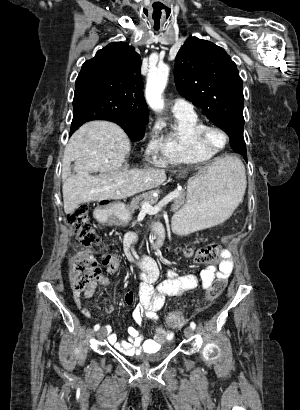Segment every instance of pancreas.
<instances>
[{
  "mask_svg": "<svg viewBox=\"0 0 300 410\" xmlns=\"http://www.w3.org/2000/svg\"><path fill=\"white\" fill-rule=\"evenodd\" d=\"M179 193L180 195L173 199V204L171 206L172 211L178 210L184 204L185 191L180 190ZM142 200H144L145 202H149L150 204H154L156 203L157 198L153 196L152 192L143 193L133 198L131 205H130V210L134 211L135 209L140 208V206L142 205V202H141Z\"/></svg>",
  "mask_w": 300,
  "mask_h": 410,
  "instance_id": "pancreas-1",
  "label": "pancreas"
}]
</instances>
